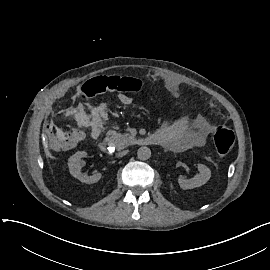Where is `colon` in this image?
I'll list each match as a JSON object with an SVG mask.
<instances>
[{"instance_id": "1", "label": "colon", "mask_w": 270, "mask_h": 270, "mask_svg": "<svg viewBox=\"0 0 270 270\" xmlns=\"http://www.w3.org/2000/svg\"><path fill=\"white\" fill-rule=\"evenodd\" d=\"M143 89V83L136 78L125 76L104 77L86 82L81 89V99L89 100L107 90L139 94ZM212 140L218 155L227 156L234 144L235 137L232 130L223 125H218L212 131Z\"/></svg>"}]
</instances>
